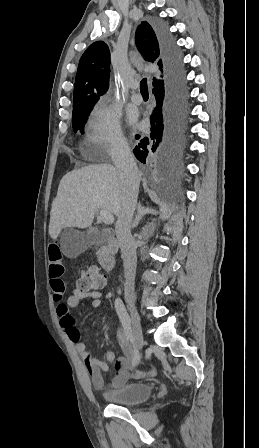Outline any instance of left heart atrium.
Segmentation results:
<instances>
[{
  "label": "left heart atrium",
  "instance_id": "39dd6f15",
  "mask_svg": "<svg viewBox=\"0 0 259 448\" xmlns=\"http://www.w3.org/2000/svg\"><path fill=\"white\" fill-rule=\"evenodd\" d=\"M129 120H130V122H134V117L130 116Z\"/></svg>",
  "mask_w": 259,
  "mask_h": 448
}]
</instances>
